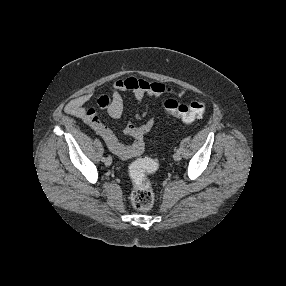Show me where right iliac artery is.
I'll use <instances>...</instances> for the list:
<instances>
[{
    "mask_svg": "<svg viewBox=\"0 0 286 286\" xmlns=\"http://www.w3.org/2000/svg\"><path fill=\"white\" fill-rule=\"evenodd\" d=\"M105 160H106V158H105V157H103V158H102V161H103V162H105Z\"/></svg>",
    "mask_w": 286,
    "mask_h": 286,
    "instance_id": "right-iliac-artery-1",
    "label": "right iliac artery"
}]
</instances>
